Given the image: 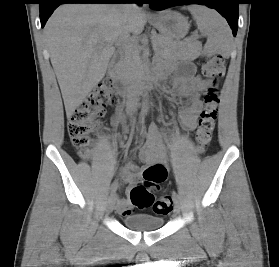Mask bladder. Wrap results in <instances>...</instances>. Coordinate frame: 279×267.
I'll return each mask as SVG.
<instances>
[{"label": "bladder", "mask_w": 279, "mask_h": 267, "mask_svg": "<svg viewBox=\"0 0 279 267\" xmlns=\"http://www.w3.org/2000/svg\"><path fill=\"white\" fill-rule=\"evenodd\" d=\"M122 222L127 229L133 231H156L164 224L162 218L146 214L126 215L123 217Z\"/></svg>", "instance_id": "obj_1"}]
</instances>
